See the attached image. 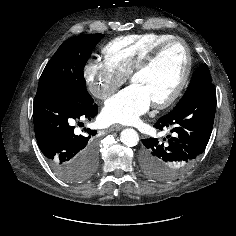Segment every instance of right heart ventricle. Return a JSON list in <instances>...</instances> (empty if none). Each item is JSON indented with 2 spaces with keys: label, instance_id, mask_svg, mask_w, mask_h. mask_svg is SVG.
<instances>
[{
  "label": "right heart ventricle",
  "instance_id": "obj_1",
  "mask_svg": "<svg viewBox=\"0 0 236 236\" xmlns=\"http://www.w3.org/2000/svg\"><path fill=\"white\" fill-rule=\"evenodd\" d=\"M172 37L159 33L121 36L107 43L103 53L111 65L127 76L154 47Z\"/></svg>",
  "mask_w": 236,
  "mask_h": 236
}]
</instances>
